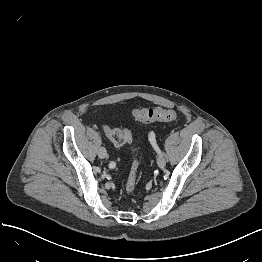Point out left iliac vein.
I'll list each match as a JSON object with an SVG mask.
<instances>
[{"label": "left iliac vein", "mask_w": 262, "mask_h": 262, "mask_svg": "<svg viewBox=\"0 0 262 262\" xmlns=\"http://www.w3.org/2000/svg\"><path fill=\"white\" fill-rule=\"evenodd\" d=\"M157 164L161 169L165 167L166 159H165L164 153L159 154V156L157 158Z\"/></svg>", "instance_id": "left-iliac-vein-1"}]
</instances>
